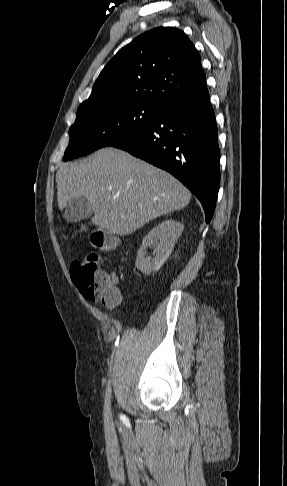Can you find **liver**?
Here are the masks:
<instances>
[{"label": "liver", "instance_id": "6515ba94", "mask_svg": "<svg viewBox=\"0 0 287 486\" xmlns=\"http://www.w3.org/2000/svg\"><path fill=\"white\" fill-rule=\"evenodd\" d=\"M56 182L60 210L71 198L83 196L92 205V223L120 236L183 209L191 200L188 189L172 175L115 148L60 164Z\"/></svg>", "mask_w": 287, "mask_h": 486}]
</instances>
